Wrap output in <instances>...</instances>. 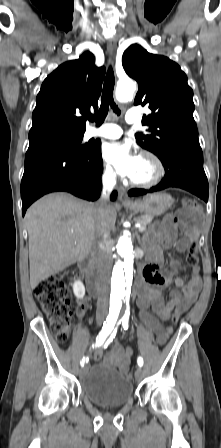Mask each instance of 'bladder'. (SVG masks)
<instances>
[{
    "label": "bladder",
    "mask_w": 221,
    "mask_h": 448,
    "mask_svg": "<svg viewBox=\"0 0 221 448\" xmlns=\"http://www.w3.org/2000/svg\"><path fill=\"white\" fill-rule=\"evenodd\" d=\"M83 395L103 407H121L134 395L131 378L109 363H97L81 380Z\"/></svg>",
    "instance_id": "31cf9c89"
}]
</instances>
